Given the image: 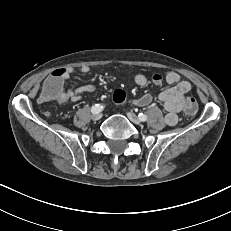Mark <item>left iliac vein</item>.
<instances>
[{
	"mask_svg": "<svg viewBox=\"0 0 231 231\" xmlns=\"http://www.w3.org/2000/svg\"><path fill=\"white\" fill-rule=\"evenodd\" d=\"M127 116L131 122H133L136 125H139L141 123L139 117L133 113V112H127Z\"/></svg>",
	"mask_w": 231,
	"mask_h": 231,
	"instance_id": "obj_1",
	"label": "left iliac vein"
}]
</instances>
